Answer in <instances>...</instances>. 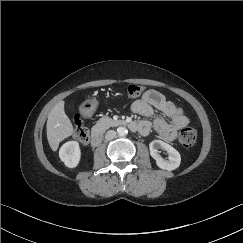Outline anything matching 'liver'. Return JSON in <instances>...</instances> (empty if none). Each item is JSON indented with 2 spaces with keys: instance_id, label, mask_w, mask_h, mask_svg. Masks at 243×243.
<instances>
[{
  "instance_id": "6515ba94",
  "label": "liver",
  "mask_w": 243,
  "mask_h": 243,
  "mask_svg": "<svg viewBox=\"0 0 243 243\" xmlns=\"http://www.w3.org/2000/svg\"><path fill=\"white\" fill-rule=\"evenodd\" d=\"M64 104V101H59L48 115L47 139L53 151H57L59 143L73 134V126L65 114Z\"/></svg>"
}]
</instances>
